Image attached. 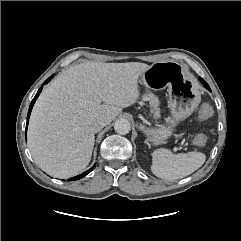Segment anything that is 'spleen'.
I'll use <instances>...</instances> for the list:
<instances>
[{
    "label": "spleen",
    "mask_w": 241,
    "mask_h": 241,
    "mask_svg": "<svg viewBox=\"0 0 241 241\" xmlns=\"http://www.w3.org/2000/svg\"><path fill=\"white\" fill-rule=\"evenodd\" d=\"M206 156L201 152L173 154L168 149H157L152 153V173L165 180H176L186 177L199 169Z\"/></svg>",
    "instance_id": "3e777b00"
}]
</instances>
